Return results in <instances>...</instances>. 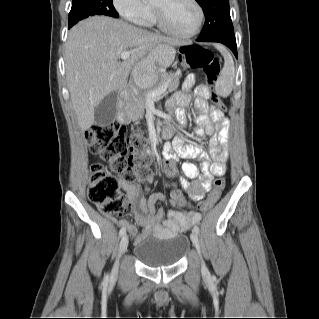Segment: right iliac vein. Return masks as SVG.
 Returning <instances> with one entry per match:
<instances>
[{
    "label": "right iliac vein",
    "instance_id": "right-iliac-vein-1",
    "mask_svg": "<svg viewBox=\"0 0 319 319\" xmlns=\"http://www.w3.org/2000/svg\"><path fill=\"white\" fill-rule=\"evenodd\" d=\"M128 243H129L128 236L124 235L120 241V244H119L117 259H116L115 265L112 269V276H116L118 273L119 258L122 256V254H124L126 252L127 247H128Z\"/></svg>",
    "mask_w": 319,
    "mask_h": 319
}]
</instances>
